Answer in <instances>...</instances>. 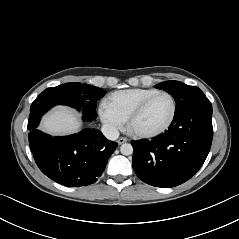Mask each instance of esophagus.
<instances>
[{
    "label": "esophagus",
    "mask_w": 239,
    "mask_h": 239,
    "mask_svg": "<svg viewBox=\"0 0 239 239\" xmlns=\"http://www.w3.org/2000/svg\"><path fill=\"white\" fill-rule=\"evenodd\" d=\"M128 141V139L126 138V137H120L118 140H117V143L119 144V145H121V144H123V143H125V142H127Z\"/></svg>",
    "instance_id": "1"
}]
</instances>
